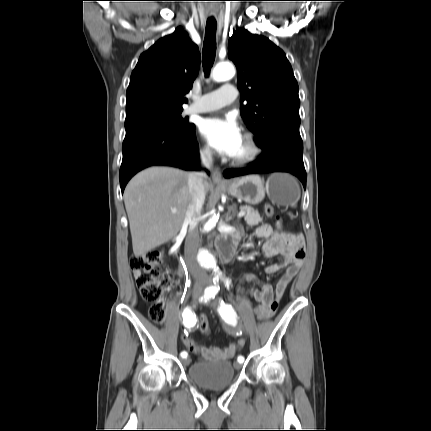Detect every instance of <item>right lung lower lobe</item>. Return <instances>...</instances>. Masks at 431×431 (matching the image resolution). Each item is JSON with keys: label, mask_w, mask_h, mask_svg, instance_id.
<instances>
[{"label": "right lung lower lobe", "mask_w": 431, "mask_h": 431, "mask_svg": "<svg viewBox=\"0 0 431 431\" xmlns=\"http://www.w3.org/2000/svg\"><path fill=\"white\" fill-rule=\"evenodd\" d=\"M122 152V193L133 175L153 165L173 166L184 170L198 169L199 152L195 126L187 131L163 125H150L128 131Z\"/></svg>", "instance_id": "98d812e1"}]
</instances>
